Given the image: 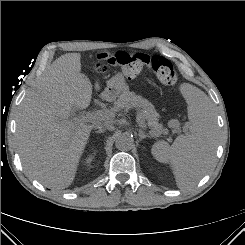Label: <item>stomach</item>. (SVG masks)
Here are the masks:
<instances>
[{"label": "stomach", "mask_w": 245, "mask_h": 245, "mask_svg": "<svg viewBox=\"0 0 245 245\" xmlns=\"http://www.w3.org/2000/svg\"><path fill=\"white\" fill-rule=\"evenodd\" d=\"M129 90L125 77L122 73H117L108 82L104 91V97L108 100H115Z\"/></svg>", "instance_id": "stomach-1"}]
</instances>
